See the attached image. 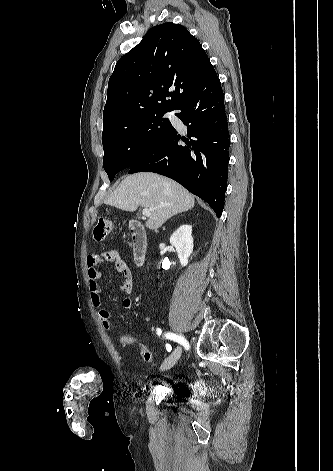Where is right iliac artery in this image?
I'll return each mask as SVG.
<instances>
[{
	"mask_svg": "<svg viewBox=\"0 0 333 471\" xmlns=\"http://www.w3.org/2000/svg\"><path fill=\"white\" fill-rule=\"evenodd\" d=\"M159 334V333H158ZM165 337L167 339H170V340H173V341H176L178 342L179 344L183 345L185 347L186 350L189 349V343L187 342V340L179 335H176L174 333H171V332H167L165 333Z\"/></svg>",
	"mask_w": 333,
	"mask_h": 471,
	"instance_id": "1",
	"label": "right iliac artery"
}]
</instances>
